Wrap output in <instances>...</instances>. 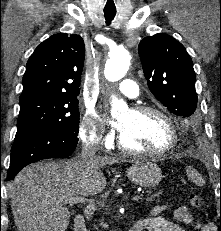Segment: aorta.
Segmentation results:
<instances>
[{"instance_id":"1","label":"aorta","mask_w":221,"mask_h":231,"mask_svg":"<svg viewBox=\"0 0 221 231\" xmlns=\"http://www.w3.org/2000/svg\"><path fill=\"white\" fill-rule=\"evenodd\" d=\"M130 65V53L124 48H116L109 53V58L105 64L104 75L110 82L122 79L128 71ZM122 107H126L123 100L112 98V114Z\"/></svg>"}]
</instances>
